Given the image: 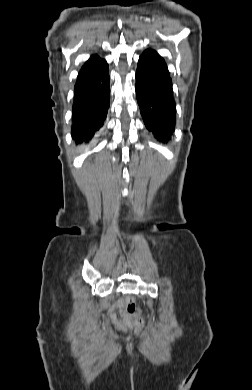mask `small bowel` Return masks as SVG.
<instances>
[{"mask_svg": "<svg viewBox=\"0 0 252 390\" xmlns=\"http://www.w3.org/2000/svg\"><path fill=\"white\" fill-rule=\"evenodd\" d=\"M109 317L117 329H126L131 325L123 310V300H117L112 305L109 311Z\"/></svg>", "mask_w": 252, "mask_h": 390, "instance_id": "obj_1", "label": "small bowel"}]
</instances>
